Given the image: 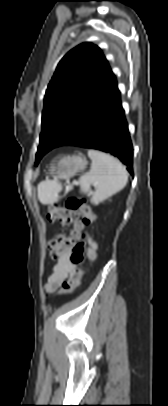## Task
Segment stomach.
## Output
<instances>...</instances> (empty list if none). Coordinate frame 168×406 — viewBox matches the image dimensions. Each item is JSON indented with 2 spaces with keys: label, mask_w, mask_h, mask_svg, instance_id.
I'll return each instance as SVG.
<instances>
[{
  "label": "stomach",
  "mask_w": 168,
  "mask_h": 406,
  "mask_svg": "<svg viewBox=\"0 0 168 406\" xmlns=\"http://www.w3.org/2000/svg\"><path fill=\"white\" fill-rule=\"evenodd\" d=\"M88 162L85 157L82 156H62L58 158L51 166V175L55 179L69 180L77 172L83 171Z\"/></svg>",
  "instance_id": "stomach-1"
}]
</instances>
